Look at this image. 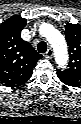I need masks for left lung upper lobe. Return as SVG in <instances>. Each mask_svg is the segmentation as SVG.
<instances>
[{
  "instance_id": "left-lung-upper-lobe-1",
  "label": "left lung upper lobe",
  "mask_w": 81,
  "mask_h": 124,
  "mask_svg": "<svg viewBox=\"0 0 81 124\" xmlns=\"http://www.w3.org/2000/svg\"><path fill=\"white\" fill-rule=\"evenodd\" d=\"M66 41L69 46V64L65 70L57 69V76L69 86H81V25L66 24Z\"/></svg>"
}]
</instances>
